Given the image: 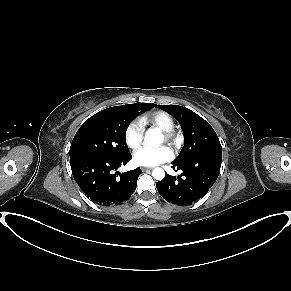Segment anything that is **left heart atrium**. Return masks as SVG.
<instances>
[{"label": "left heart atrium", "mask_w": 291, "mask_h": 291, "mask_svg": "<svg viewBox=\"0 0 291 291\" xmlns=\"http://www.w3.org/2000/svg\"><path fill=\"white\" fill-rule=\"evenodd\" d=\"M173 157L172 151L166 146H141L133 153V160L137 165L152 167L164 163Z\"/></svg>", "instance_id": "obj_1"}]
</instances>
